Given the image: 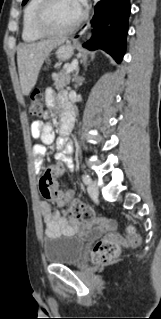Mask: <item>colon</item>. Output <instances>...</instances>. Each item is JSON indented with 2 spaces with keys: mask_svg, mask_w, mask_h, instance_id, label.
<instances>
[{
  "mask_svg": "<svg viewBox=\"0 0 161 319\" xmlns=\"http://www.w3.org/2000/svg\"><path fill=\"white\" fill-rule=\"evenodd\" d=\"M29 114L31 116H41L43 114L42 95L39 89H34L31 94ZM40 188L42 196L46 199L59 201L64 198V193L55 189L53 178L49 173L42 177ZM67 214L82 221H92L97 217L86 202L78 199L69 202ZM140 243V236L133 228L128 229L126 236L114 232L95 244L92 250V259L100 264H110L118 258L122 247L138 246Z\"/></svg>",
  "mask_w": 161,
  "mask_h": 319,
  "instance_id": "colon-1",
  "label": "colon"
}]
</instances>
